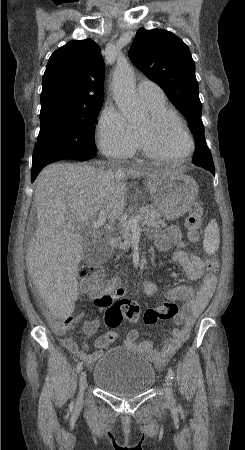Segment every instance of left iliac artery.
<instances>
[{"instance_id":"1","label":"left iliac artery","mask_w":245,"mask_h":450,"mask_svg":"<svg viewBox=\"0 0 245 450\" xmlns=\"http://www.w3.org/2000/svg\"><path fill=\"white\" fill-rule=\"evenodd\" d=\"M168 375L170 376L171 379H174L175 374L171 368L168 369Z\"/></svg>"}]
</instances>
